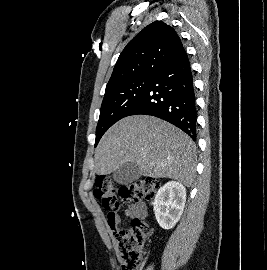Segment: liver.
I'll return each instance as SVG.
<instances>
[{"instance_id": "6515ba94", "label": "liver", "mask_w": 267, "mask_h": 270, "mask_svg": "<svg viewBox=\"0 0 267 270\" xmlns=\"http://www.w3.org/2000/svg\"><path fill=\"white\" fill-rule=\"evenodd\" d=\"M196 145L191 138L159 118L135 115L114 124L95 151V172L107 175L135 163L141 175L170 178L190 187L195 175Z\"/></svg>"}]
</instances>
